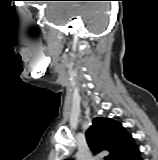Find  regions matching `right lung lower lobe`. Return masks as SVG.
Listing matches in <instances>:
<instances>
[{"mask_svg":"<svg viewBox=\"0 0 158 160\" xmlns=\"http://www.w3.org/2000/svg\"><path fill=\"white\" fill-rule=\"evenodd\" d=\"M123 160H142L139 148L136 146Z\"/></svg>","mask_w":158,"mask_h":160,"instance_id":"1","label":"right lung lower lobe"}]
</instances>
